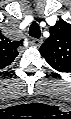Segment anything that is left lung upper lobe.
<instances>
[{
    "label": "left lung upper lobe",
    "mask_w": 71,
    "mask_h": 119,
    "mask_svg": "<svg viewBox=\"0 0 71 119\" xmlns=\"http://www.w3.org/2000/svg\"><path fill=\"white\" fill-rule=\"evenodd\" d=\"M40 53L58 72H71V24L59 20L50 28V36L40 47Z\"/></svg>",
    "instance_id": "obj_1"
}]
</instances>
